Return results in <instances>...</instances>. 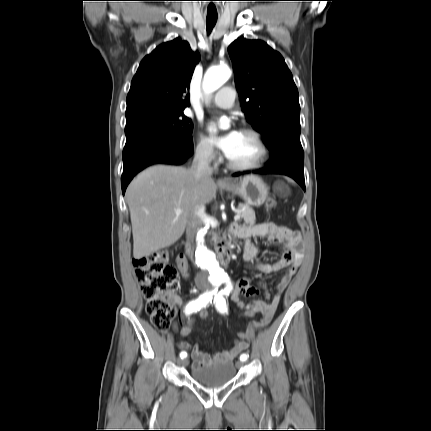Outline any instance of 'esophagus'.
Masks as SVG:
<instances>
[{"instance_id": "obj_1", "label": "esophagus", "mask_w": 431, "mask_h": 431, "mask_svg": "<svg viewBox=\"0 0 431 431\" xmlns=\"http://www.w3.org/2000/svg\"><path fill=\"white\" fill-rule=\"evenodd\" d=\"M228 181L226 180V179H219L218 180V183H220V184H225V183H227Z\"/></svg>"}]
</instances>
